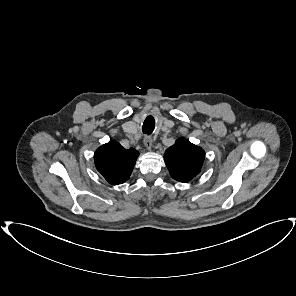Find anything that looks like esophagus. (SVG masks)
Wrapping results in <instances>:
<instances>
[{
	"instance_id": "esophagus-1",
	"label": "esophagus",
	"mask_w": 296,
	"mask_h": 296,
	"mask_svg": "<svg viewBox=\"0 0 296 296\" xmlns=\"http://www.w3.org/2000/svg\"><path fill=\"white\" fill-rule=\"evenodd\" d=\"M143 142H144V145L145 147L150 150L153 146V140L151 137L149 136H145L144 139H143Z\"/></svg>"
}]
</instances>
